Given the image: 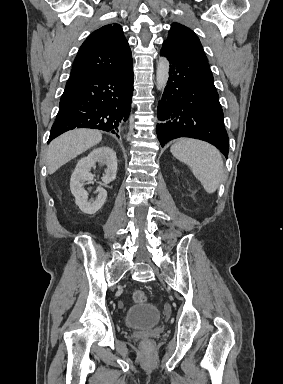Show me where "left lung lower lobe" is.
<instances>
[{"instance_id":"left-lung-lower-lobe-1","label":"left lung lower lobe","mask_w":283,"mask_h":384,"mask_svg":"<svg viewBox=\"0 0 283 384\" xmlns=\"http://www.w3.org/2000/svg\"><path fill=\"white\" fill-rule=\"evenodd\" d=\"M160 54L170 62V77L158 106L156 133L161 146L191 137L213 144L227 157L229 140L208 61L165 43Z\"/></svg>"}]
</instances>
